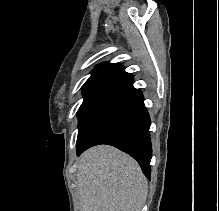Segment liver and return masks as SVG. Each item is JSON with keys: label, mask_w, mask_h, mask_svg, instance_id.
Segmentation results:
<instances>
[{"label": "liver", "mask_w": 219, "mask_h": 211, "mask_svg": "<svg viewBox=\"0 0 219 211\" xmlns=\"http://www.w3.org/2000/svg\"><path fill=\"white\" fill-rule=\"evenodd\" d=\"M77 181L80 211H141L148 195L139 163L112 145L81 153Z\"/></svg>", "instance_id": "1"}]
</instances>
